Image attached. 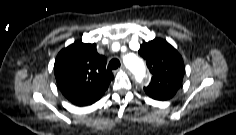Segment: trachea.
Segmentation results:
<instances>
[{"mask_svg": "<svg viewBox=\"0 0 236 135\" xmlns=\"http://www.w3.org/2000/svg\"><path fill=\"white\" fill-rule=\"evenodd\" d=\"M120 67V61L116 58L112 59L108 64V69L114 70Z\"/></svg>", "mask_w": 236, "mask_h": 135, "instance_id": "1", "label": "trachea"}]
</instances>
